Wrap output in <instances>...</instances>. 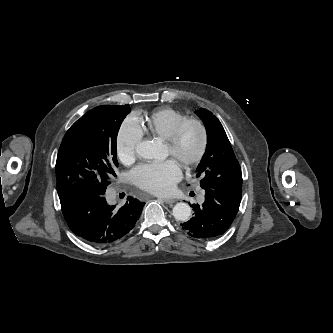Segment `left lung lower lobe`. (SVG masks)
<instances>
[{
	"instance_id": "0a47b994",
	"label": "left lung lower lobe",
	"mask_w": 333,
	"mask_h": 333,
	"mask_svg": "<svg viewBox=\"0 0 333 333\" xmlns=\"http://www.w3.org/2000/svg\"><path fill=\"white\" fill-rule=\"evenodd\" d=\"M205 201L202 205L193 204L195 216L181 224L191 237L210 239L217 237L232 224L241 202L240 189H213L203 187Z\"/></svg>"
}]
</instances>
